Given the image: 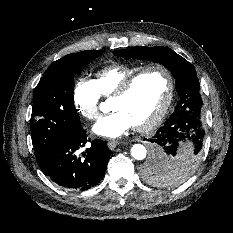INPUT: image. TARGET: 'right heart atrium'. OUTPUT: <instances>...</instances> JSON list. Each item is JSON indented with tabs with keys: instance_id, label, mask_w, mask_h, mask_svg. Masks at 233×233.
<instances>
[{
	"instance_id": "right-heart-atrium-1",
	"label": "right heart atrium",
	"mask_w": 233,
	"mask_h": 233,
	"mask_svg": "<svg viewBox=\"0 0 233 233\" xmlns=\"http://www.w3.org/2000/svg\"><path fill=\"white\" fill-rule=\"evenodd\" d=\"M101 94L94 80L78 78L72 90L73 106L83 118L95 120L100 115Z\"/></svg>"
}]
</instances>
